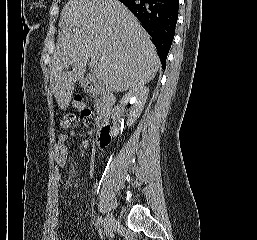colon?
<instances>
[{
  "instance_id": "colon-1",
  "label": "colon",
  "mask_w": 257,
  "mask_h": 240,
  "mask_svg": "<svg viewBox=\"0 0 257 240\" xmlns=\"http://www.w3.org/2000/svg\"><path fill=\"white\" fill-rule=\"evenodd\" d=\"M73 108L79 112H81L83 115L87 116L90 114V110L86 108L84 105L82 99L80 97H76L73 101ZM72 115L67 116L65 123H68L70 120H72Z\"/></svg>"
}]
</instances>
